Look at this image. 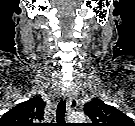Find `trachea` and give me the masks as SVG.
Instances as JSON below:
<instances>
[{
	"label": "trachea",
	"mask_w": 135,
	"mask_h": 126,
	"mask_svg": "<svg viewBox=\"0 0 135 126\" xmlns=\"http://www.w3.org/2000/svg\"><path fill=\"white\" fill-rule=\"evenodd\" d=\"M66 110V100H60L57 110H56V121L57 124L61 125L64 124V116Z\"/></svg>",
	"instance_id": "obj_1"
}]
</instances>
